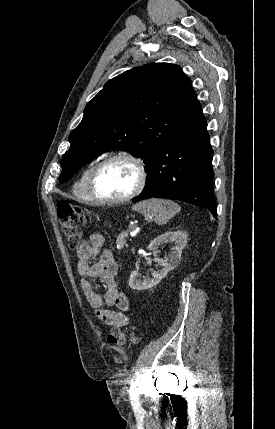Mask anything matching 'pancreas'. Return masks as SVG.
Instances as JSON below:
<instances>
[{
  "label": "pancreas",
  "mask_w": 275,
  "mask_h": 429,
  "mask_svg": "<svg viewBox=\"0 0 275 429\" xmlns=\"http://www.w3.org/2000/svg\"><path fill=\"white\" fill-rule=\"evenodd\" d=\"M128 233L129 231H123L122 233L119 234V236L116 239V246L118 250H122L125 243H126V238L128 237Z\"/></svg>",
  "instance_id": "1"
}]
</instances>
